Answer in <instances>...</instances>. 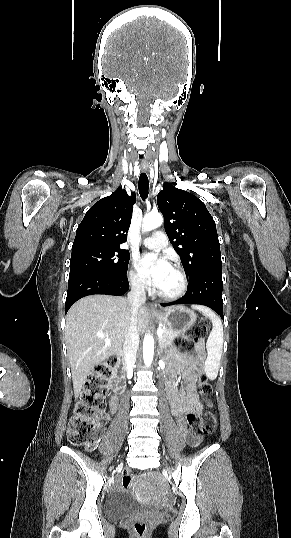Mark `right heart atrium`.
<instances>
[{
	"label": "right heart atrium",
	"mask_w": 291,
	"mask_h": 538,
	"mask_svg": "<svg viewBox=\"0 0 291 538\" xmlns=\"http://www.w3.org/2000/svg\"><path fill=\"white\" fill-rule=\"evenodd\" d=\"M129 281L131 286L138 291H144L147 288L146 281L132 266L129 270Z\"/></svg>",
	"instance_id": "obj_1"
}]
</instances>
